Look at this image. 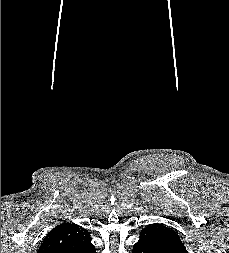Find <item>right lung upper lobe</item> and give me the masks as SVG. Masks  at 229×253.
Wrapping results in <instances>:
<instances>
[{
  "mask_svg": "<svg viewBox=\"0 0 229 253\" xmlns=\"http://www.w3.org/2000/svg\"><path fill=\"white\" fill-rule=\"evenodd\" d=\"M88 240L90 233L86 229L63 223L47 234L37 253H61Z\"/></svg>",
  "mask_w": 229,
  "mask_h": 253,
  "instance_id": "cb5924a9",
  "label": "right lung upper lobe"
}]
</instances>
